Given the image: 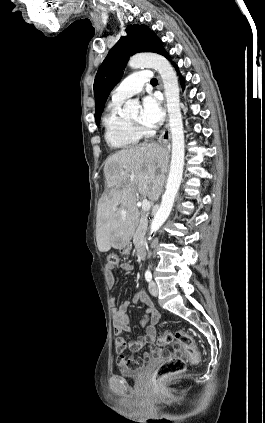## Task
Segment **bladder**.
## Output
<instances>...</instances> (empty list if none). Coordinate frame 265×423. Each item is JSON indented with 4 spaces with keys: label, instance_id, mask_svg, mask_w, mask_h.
<instances>
[{
    "label": "bladder",
    "instance_id": "bladder-1",
    "mask_svg": "<svg viewBox=\"0 0 265 423\" xmlns=\"http://www.w3.org/2000/svg\"><path fill=\"white\" fill-rule=\"evenodd\" d=\"M147 370V366L141 368L131 369V368H120L119 374L127 378H140L144 375Z\"/></svg>",
    "mask_w": 265,
    "mask_h": 423
}]
</instances>
